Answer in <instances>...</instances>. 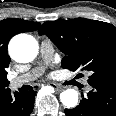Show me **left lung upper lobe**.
I'll list each match as a JSON object with an SVG mask.
<instances>
[{"label": "left lung upper lobe", "mask_w": 116, "mask_h": 116, "mask_svg": "<svg viewBox=\"0 0 116 116\" xmlns=\"http://www.w3.org/2000/svg\"><path fill=\"white\" fill-rule=\"evenodd\" d=\"M39 34H46L65 54L63 68L89 71L90 85L116 84L115 26L84 18L47 21Z\"/></svg>", "instance_id": "5c2ea615"}]
</instances>
